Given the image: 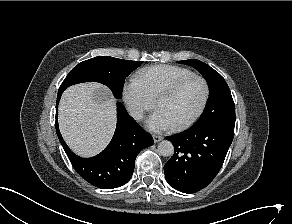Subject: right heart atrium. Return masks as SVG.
I'll return each instance as SVG.
<instances>
[{
  "mask_svg": "<svg viewBox=\"0 0 292 224\" xmlns=\"http://www.w3.org/2000/svg\"><path fill=\"white\" fill-rule=\"evenodd\" d=\"M123 100L130 114L137 120H141L154 107V100L135 79L124 85Z\"/></svg>",
  "mask_w": 292,
  "mask_h": 224,
  "instance_id": "right-heart-atrium-1",
  "label": "right heart atrium"
}]
</instances>
